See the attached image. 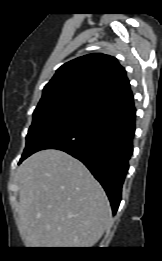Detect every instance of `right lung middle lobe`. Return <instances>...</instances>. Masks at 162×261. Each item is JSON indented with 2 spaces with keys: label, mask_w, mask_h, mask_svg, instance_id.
Returning <instances> with one entry per match:
<instances>
[{
  "label": "right lung middle lobe",
  "mask_w": 162,
  "mask_h": 261,
  "mask_svg": "<svg viewBox=\"0 0 162 261\" xmlns=\"http://www.w3.org/2000/svg\"><path fill=\"white\" fill-rule=\"evenodd\" d=\"M81 92H67L42 97L33 113L23 155L35 150L39 143L67 122L101 105Z\"/></svg>",
  "instance_id": "1"
}]
</instances>
